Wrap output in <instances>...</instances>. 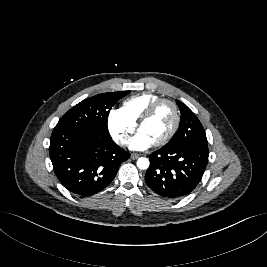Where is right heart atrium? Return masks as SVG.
Instances as JSON below:
<instances>
[{"mask_svg": "<svg viewBox=\"0 0 267 267\" xmlns=\"http://www.w3.org/2000/svg\"><path fill=\"white\" fill-rule=\"evenodd\" d=\"M107 126L112 138L118 144H125L135 130V124L125 115L121 108L111 109L107 116Z\"/></svg>", "mask_w": 267, "mask_h": 267, "instance_id": "1", "label": "right heart atrium"}]
</instances>
